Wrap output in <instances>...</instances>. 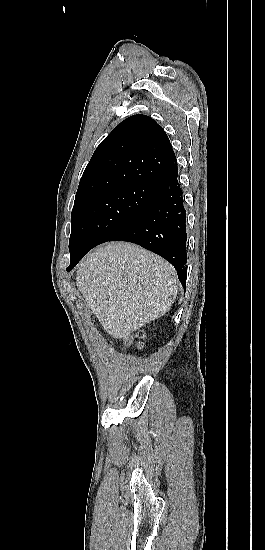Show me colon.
I'll return each mask as SVG.
<instances>
[{"label":"colon","mask_w":265,"mask_h":550,"mask_svg":"<svg viewBox=\"0 0 265 550\" xmlns=\"http://www.w3.org/2000/svg\"><path fill=\"white\" fill-rule=\"evenodd\" d=\"M142 336H143V333H142V332H138V333L135 334V336L129 337V338L126 340V342H127L128 344H131V343H133V341H134L135 338H141ZM138 345H140V342H138Z\"/></svg>","instance_id":"obj_1"}]
</instances>
